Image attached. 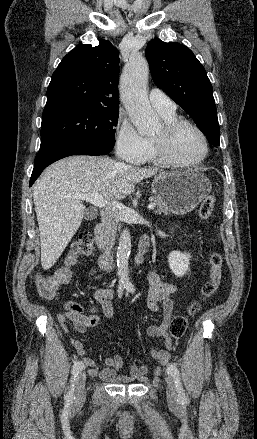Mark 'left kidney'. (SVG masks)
Listing matches in <instances>:
<instances>
[{
	"mask_svg": "<svg viewBox=\"0 0 257 439\" xmlns=\"http://www.w3.org/2000/svg\"><path fill=\"white\" fill-rule=\"evenodd\" d=\"M190 254L172 251L168 256L169 267L177 277H182L189 270Z\"/></svg>",
	"mask_w": 257,
	"mask_h": 439,
	"instance_id": "1",
	"label": "left kidney"
}]
</instances>
